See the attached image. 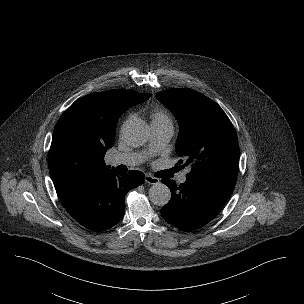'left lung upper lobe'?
<instances>
[{
  "label": "left lung upper lobe",
  "mask_w": 304,
  "mask_h": 304,
  "mask_svg": "<svg viewBox=\"0 0 304 304\" xmlns=\"http://www.w3.org/2000/svg\"><path fill=\"white\" fill-rule=\"evenodd\" d=\"M157 98L179 121L176 152L192 168L187 181L231 194L240 151L235 129L222 108L189 88L168 89L157 93Z\"/></svg>",
  "instance_id": "obj_1"
}]
</instances>
